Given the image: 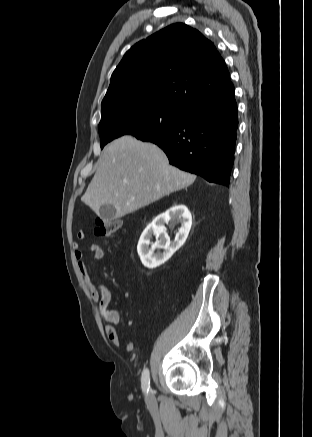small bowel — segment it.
<instances>
[{
    "instance_id": "1",
    "label": "small bowel",
    "mask_w": 312,
    "mask_h": 437,
    "mask_svg": "<svg viewBox=\"0 0 312 437\" xmlns=\"http://www.w3.org/2000/svg\"><path fill=\"white\" fill-rule=\"evenodd\" d=\"M77 239L79 242L85 240V232L83 230L78 231ZM79 242H76L73 245L74 255L86 287L88 288L92 299L98 304L101 316L107 324L105 327V334L115 346L122 347L126 352H132L135 348L134 343L131 341L122 342L113 327V325L120 322V315L116 310L109 308L111 302L110 290L104 284L96 285L90 275V267L92 263L103 259L106 255V251L102 246L93 243L88 248L90 259L86 261V253Z\"/></svg>"
}]
</instances>
